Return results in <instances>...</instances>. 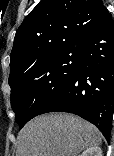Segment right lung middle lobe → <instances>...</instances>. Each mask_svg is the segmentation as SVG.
<instances>
[{
    "label": "right lung middle lobe",
    "instance_id": "dd1d6c3e",
    "mask_svg": "<svg viewBox=\"0 0 114 156\" xmlns=\"http://www.w3.org/2000/svg\"><path fill=\"white\" fill-rule=\"evenodd\" d=\"M79 46L44 59L18 75L11 83V106L20 128L40 114L69 84L80 66Z\"/></svg>",
    "mask_w": 114,
    "mask_h": 156
}]
</instances>
